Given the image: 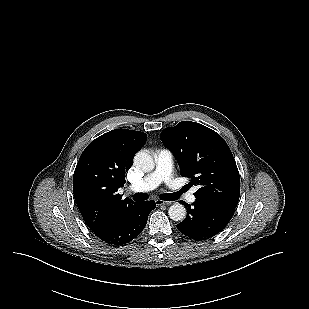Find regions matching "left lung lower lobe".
<instances>
[{
    "mask_svg": "<svg viewBox=\"0 0 309 309\" xmlns=\"http://www.w3.org/2000/svg\"><path fill=\"white\" fill-rule=\"evenodd\" d=\"M187 208L186 218L177 229L194 240H206L221 232L231 220L235 208L215 201L196 198L192 205L182 202Z\"/></svg>",
    "mask_w": 309,
    "mask_h": 309,
    "instance_id": "obj_1",
    "label": "left lung lower lobe"
}]
</instances>
